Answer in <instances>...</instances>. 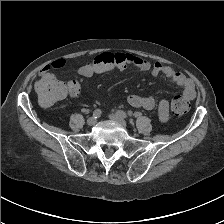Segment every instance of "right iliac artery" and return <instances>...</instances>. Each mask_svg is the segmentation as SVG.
Listing matches in <instances>:
<instances>
[{
    "label": "right iliac artery",
    "mask_w": 224,
    "mask_h": 224,
    "mask_svg": "<svg viewBox=\"0 0 224 224\" xmlns=\"http://www.w3.org/2000/svg\"><path fill=\"white\" fill-rule=\"evenodd\" d=\"M102 114V111L100 109H96L94 112H93V117L95 119L99 118Z\"/></svg>",
    "instance_id": "82829eb1"
}]
</instances>
